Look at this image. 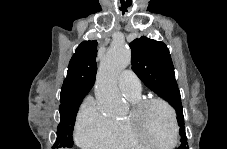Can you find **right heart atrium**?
<instances>
[{
  "mask_svg": "<svg viewBox=\"0 0 227 149\" xmlns=\"http://www.w3.org/2000/svg\"><path fill=\"white\" fill-rule=\"evenodd\" d=\"M112 134L113 120L103 115L92 99H85L75 123L77 143L87 149H103L109 146Z\"/></svg>",
  "mask_w": 227,
  "mask_h": 149,
  "instance_id": "1",
  "label": "right heart atrium"
}]
</instances>
